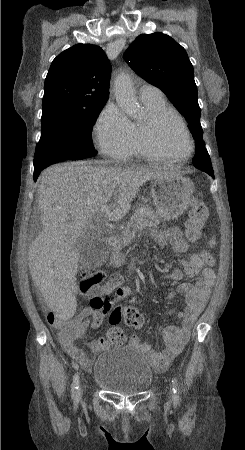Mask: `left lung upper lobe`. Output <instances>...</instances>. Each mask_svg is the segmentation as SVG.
I'll return each mask as SVG.
<instances>
[{
  "label": "left lung upper lobe",
  "mask_w": 245,
  "mask_h": 450,
  "mask_svg": "<svg viewBox=\"0 0 245 450\" xmlns=\"http://www.w3.org/2000/svg\"><path fill=\"white\" fill-rule=\"evenodd\" d=\"M129 66L150 84L160 88L186 118L196 145H204L194 69L185 49L162 33L141 34L124 53ZM193 165L212 167L209 154H195Z\"/></svg>",
  "instance_id": "obj_1"
}]
</instances>
